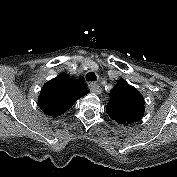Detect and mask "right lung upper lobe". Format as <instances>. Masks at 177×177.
I'll return each instance as SVG.
<instances>
[{
  "label": "right lung upper lobe",
  "instance_id": "cb5924a9",
  "mask_svg": "<svg viewBox=\"0 0 177 177\" xmlns=\"http://www.w3.org/2000/svg\"><path fill=\"white\" fill-rule=\"evenodd\" d=\"M87 94L82 83L62 73L48 81L38 98L41 110L50 116H58L70 109L73 104Z\"/></svg>",
  "mask_w": 177,
  "mask_h": 177
}]
</instances>
